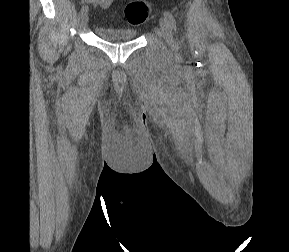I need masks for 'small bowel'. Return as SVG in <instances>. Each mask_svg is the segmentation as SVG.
I'll list each match as a JSON object with an SVG mask.
<instances>
[{
  "instance_id": "c3829d8e",
  "label": "small bowel",
  "mask_w": 289,
  "mask_h": 252,
  "mask_svg": "<svg viewBox=\"0 0 289 252\" xmlns=\"http://www.w3.org/2000/svg\"><path fill=\"white\" fill-rule=\"evenodd\" d=\"M114 1L115 0H81L84 4L97 5L104 9L110 7Z\"/></svg>"
}]
</instances>
